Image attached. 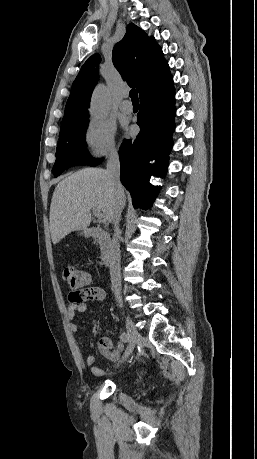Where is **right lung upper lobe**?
<instances>
[{
  "label": "right lung upper lobe",
  "mask_w": 257,
  "mask_h": 459,
  "mask_svg": "<svg viewBox=\"0 0 257 459\" xmlns=\"http://www.w3.org/2000/svg\"><path fill=\"white\" fill-rule=\"evenodd\" d=\"M100 58L91 56L82 66L73 82L65 108L60 134L88 120L87 105L98 82L96 68ZM113 64L130 87H136L139 96L153 84L170 74L162 49L154 37L130 23L123 39L113 48Z\"/></svg>",
  "instance_id": "right-lung-upper-lobe-1"
}]
</instances>
